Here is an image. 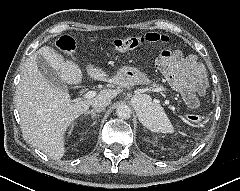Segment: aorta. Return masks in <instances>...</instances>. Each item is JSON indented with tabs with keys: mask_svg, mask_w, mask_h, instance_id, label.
Returning a JSON list of instances; mask_svg holds the SVG:
<instances>
[{
	"mask_svg": "<svg viewBox=\"0 0 240 191\" xmlns=\"http://www.w3.org/2000/svg\"><path fill=\"white\" fill-rule=\"evenodd\" d=\"M137 100L142 101L143 106L146 108L147 105L149 104V102L144 98V96H140L137 97ZM132 114V110L131 108L126 105V104H122L119 105L116 109V115L117 117H119L120 119H129L131 117Z\"/></svg>",
	"mask_w": 240,
	"mask_h": 191,
	"instance_id": "762f6f07",
	"label": "aorta"
}]
</instances>
